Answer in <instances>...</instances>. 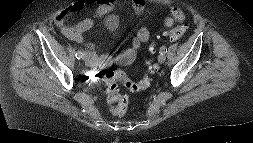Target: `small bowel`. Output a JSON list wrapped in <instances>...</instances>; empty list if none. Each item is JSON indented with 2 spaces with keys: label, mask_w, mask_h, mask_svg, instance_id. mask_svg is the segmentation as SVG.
<instances>
[{
  "label": "small bowel",
  "mask_w": 253,
  "mask_h": 143,
  "mask_svg": "<svg viewBox=\"0 0 253 143\" xmlns=\"http://www.w3.org/2000/svg\"><path fill=\"white\" fill-rule=\"evenodd\" d=\"M94 6L96 8L94 17L104 15L113 10L115 6L114 0H79L76 1L63 10H61L55 17L54 23L59 31L67 39L76 42L84 43L86 49L89 52H94L95 45L92 42L85 41L84 35L89 31L94 24V18H85L79 21L74 26L67 25L66 19L74 13H78L87 7ZM132 6L136 13L143 14L148 12L146 5V0H132ZM185 19V14L183 10L179 7H171L169 10V15L165 17L163 24L166 28L173 27L176 23H181ZM150 38V30L147 26H142L132 39L131 48L128 49L120 59L127 58L129 56H134L135 52L139 49L141 44L147 42ZM89 65H97L95 56L89 60Z\"/></svg>",
  "instance_id": "obj_1"
}]
</instances>
